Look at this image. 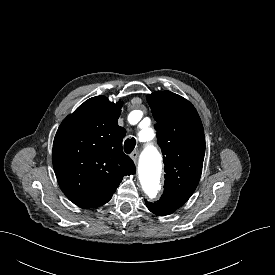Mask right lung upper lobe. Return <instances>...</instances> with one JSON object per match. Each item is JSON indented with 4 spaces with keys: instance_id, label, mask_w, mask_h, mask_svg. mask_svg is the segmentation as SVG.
<instances>
[{
    "instance_id": "right-lung-upper-lobe-1",
    "label": "right lung upper lobe",
    "mask_w": 275,
    "mask_h": 275,
    "mask_svg": "<svg viewBox=\"0 0 275 275\" xmlns=\"http://www.w3.org/2000/svg\"><path fill=\"white\" fill-rule=\"evenodd\" d=\"M122 103L96 96L80 105L59 126L53 167L66 197L81 208L110 201L134 162L122 151L126 130L118 125Z\"/></svg>"
}]
</instances>
